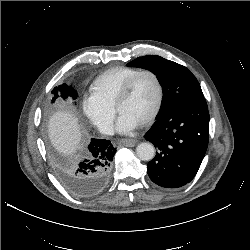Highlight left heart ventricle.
<instances>
[{
	"label": "left heart ventricle",
	"mask_w": 250,
	"mask_h": 250,
	"mask_svg": "<svg viewBox=\"0 0 250 250\" xmlns=\"http://www.w3.org/2000/svg\"><path fill=\"white\" fill-rule=\"evenodd\" d=\"M157 102V88L152 76L144 74L135 82L119 114L140 125L153 112Z\"/></svg>",
	"instance_id": "left-heart-ventricle-1"
}]
</instances>
